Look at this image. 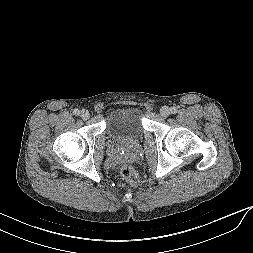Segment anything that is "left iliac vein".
Segmentation results:
<instances>
[{
	"instance_id": "1",
	"label": "left iliac vein",
	"mask_w": 253,
	"mask_h": 253,
	"mask_svg": "<svg viewBox=\"0 0 253 253\" xmlns=\"http://www.w3.org/2000/svg\"><path fill=\"white\" fill-rule=\"evenodd\" d=\"M160 114L162 117H168L171 114V109L168 106H163L160 109Z\"/></svg>"
}]
</instances>
